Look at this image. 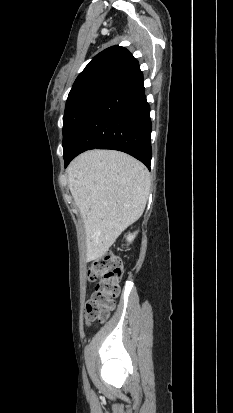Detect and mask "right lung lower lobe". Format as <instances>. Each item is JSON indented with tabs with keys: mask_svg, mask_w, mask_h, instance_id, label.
Listing matches in <instances>:
<instances>
[{
	"mask_svg": "<svg viewBox=\"0 0 233 413\" xmlns=\"http://www.w3.org/2000/svg\"><path fill=\"white\" fill-rule=\"evenodd\" d=\"M151 130L143 74L137 65L116 79L91 112L64 157L65 167L78 154L97 148L126 152L150 168Z\"/></svg>",
	"mask_w": 233,
	"mask_h": 413,
	"instance_id": "1",
	"label": "right lung lower lobe"
}]
</instances>
